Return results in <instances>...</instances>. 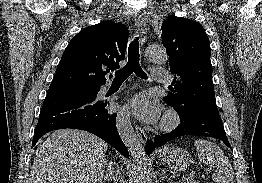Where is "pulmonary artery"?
<instances>
[{
  "label": "pulmonary artery",
  "mask_w": 262,
  "mask_h": 183,
  "mask_svg": "<svg viewBox=\"0 0 262 183\" xmlns=\"http://www.w3.org/2000/svg\"><path fill=\"white\" fill-rule=\"evenodd\" d=\"M151 74L156 82H166L168 80L167 75L159 69H152Z\"/></svg>",
  "instance_id": "e3ab8cb5"
}]
</instances>
